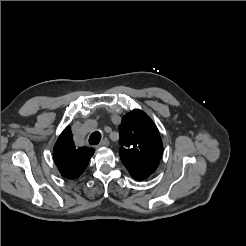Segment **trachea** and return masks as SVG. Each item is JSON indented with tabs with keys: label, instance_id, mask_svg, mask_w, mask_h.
Here are the masks:
<instances>
[{
	"label": "trachea",
	"instance_id": "trachea-1",
	"mask_svg": "<svg viewBox=\"0 0 246 246\" xmlns=\"http://www.w3.org/2000/svg\"><path fill=\"white\" fill-rule=\"evenodd\" d=\"M101 140V133L99 131L93 132L89 137V143L91 145H97Z\"/></svg>",
	"mask_w": 246,
	"mask_h": 246
}]
</instances>
